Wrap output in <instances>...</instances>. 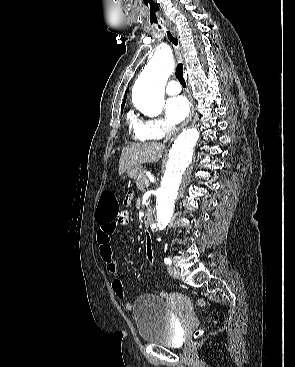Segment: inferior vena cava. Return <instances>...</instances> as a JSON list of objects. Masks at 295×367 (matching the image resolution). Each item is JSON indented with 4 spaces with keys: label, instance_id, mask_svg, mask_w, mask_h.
<instances>
[{
    "label": "inferior vena cava",
    "instance_id": "602c4592",
    "mask_svg": "<svg viewBox=\"0 0 295 367\" xmlns=\"http://www.w3.org/2000/svg\"><path fill=\"white\" fill-rule=\"evenodd\" d=\"M174 132H175V127L169 126L168 129L166 130V138L164 142H167L171 138V136L174 134Z\"/></svg>",
    "mask_w": 295,
    "mask_h": 367
}]
</instances>
